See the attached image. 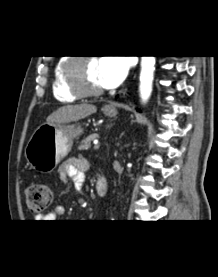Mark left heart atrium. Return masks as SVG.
<instances>
[{
    "mask_svg": "<svg viewBox=\"0 0 218 277\" xmlns=\"http://www.w3.org/2000/svg\"><path fill=\"white\" fill-rule=\"evenodd\" d=\"M129 63L124 57H104L98 62V77L101 87L114 88L125 78Z\"/></svg>",
    "mask_w": 218,
    "mask_h": 277,
    "instance_id": "left-heart-atrium-1",
    "label": "left heart atrium"
}]
</instances>
